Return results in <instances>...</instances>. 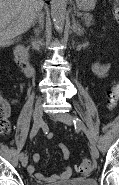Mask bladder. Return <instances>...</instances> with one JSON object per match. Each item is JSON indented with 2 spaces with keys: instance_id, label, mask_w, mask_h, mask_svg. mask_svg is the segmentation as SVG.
Listing matches in <instances>:
<instances>
[{
  "instance_id": "bladder-1",
  "label": "bladder",
  "mask_w": 119,
  "mask_h": 185,
  "mask_svg": "<svg viewBox=\"0 0 119 185\" xmlns=\"http://www.w3.org/2000/svg\"><path fill=\"white\" fill-rule=\"evenodd\" d=\"M48 185H97L96 180L94 179H67Z\"/></svg>"
}]
</instances>
